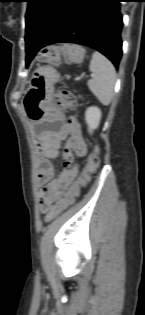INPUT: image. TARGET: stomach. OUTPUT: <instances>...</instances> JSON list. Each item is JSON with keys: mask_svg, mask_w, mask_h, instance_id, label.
I'll return each instance as SVG.
<instances>
[{"mask_svg": "<svg viewBox=\"0 0 145 315\" xmlns=\"http://www.w3.org/2000/svg\"><path fill=\"white\" fill-rule=\"evenodd\" d=\"M59 72H33L32 85L23 94L25 115L29 122H48V116H56L57 110L47 105L49 91H54V83Z\"/></svg>", "mask_w": 145, "mask_h": 315, "instance_id": "1", "label": "stomach"}]
</instances>
